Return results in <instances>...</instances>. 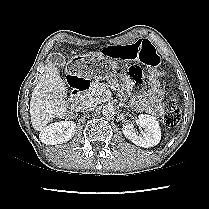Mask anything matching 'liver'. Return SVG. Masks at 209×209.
<instances>
[{
	"label": "liver",
	"mask_w": 209,
	"mask_h": 209,
	"mask_svg": "<svg viewBox=\"0 0 209 209\" xmlns=\"http://www.w3.org/2000/svg\"><path fill=\"white\" fill-rule=\"evenodd\" d=\"M68 108L66 84L60 76L59 69L49 61L33 89L30 100L33 128L37 131L42 130L54 118L65 116Z\"/></svg>",
	"instance_id": "1"
}]
</instances>
